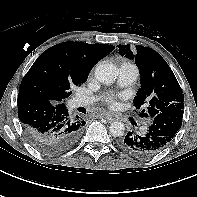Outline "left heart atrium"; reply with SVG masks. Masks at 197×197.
Listing matches in <instances>:
<instances>
[{
    "mask_svg": "<svg viewBox=\"0 0 197 197\" xmlns=\"http://www.w3.org/2000/svg\"><path fill=\"white\" fill-rule=\"evenodd\" d=\"M104 101L108 106L115 108L117 106V95L107 94L104 96Z\"/></svg>",
    "mask_w": 197,
    "mask_h": 197,
    "instance_id": "1",
    "label": "left heart atrium"
}]
</instances>
